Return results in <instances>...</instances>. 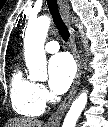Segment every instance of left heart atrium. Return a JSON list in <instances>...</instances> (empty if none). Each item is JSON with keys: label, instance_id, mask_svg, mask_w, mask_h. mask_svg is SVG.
<instances>
[{"label": "left heart atrium", "instance_id": "39dd6f15", "mask_svg": "<svg viewBox=\"0 0 108 127\" xmlns=\"http://www.w3.org/2000/svg\"><path fill=\"white\" fill-rule=\"evenodd\" d=\"M48 73L51 90L56 94H62L74 79L75 64L68 54L59 53L50 59Z\"/></svg>", "mask_w": 108, "mask_h": 127}]
</instances>
